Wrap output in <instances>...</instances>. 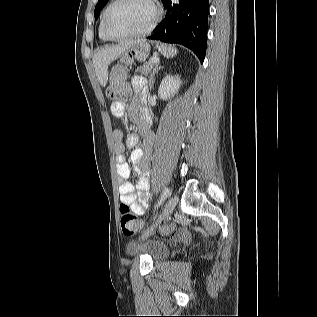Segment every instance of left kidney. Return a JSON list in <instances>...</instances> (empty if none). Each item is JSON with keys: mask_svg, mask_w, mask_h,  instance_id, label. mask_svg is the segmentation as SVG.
Wrapping results in <instances>:
<instances>
[{"mask_svg": "<svg viewBox=\"0 0 317 317\" xmlns=\"http://www.w3.org/2000/svg\"><path fill=\"white\" fill-rule=\"evenodd\" d=\"M182 82L180 77L177 75L175 77L167 75L160 83L158 89V96L162 100H168L171 96L178 92Z\"/></svg>", "mask_w": 317, "mask_h": 317, "instance_id": "obj_1", "label": "left kidney"}]
</instances>
